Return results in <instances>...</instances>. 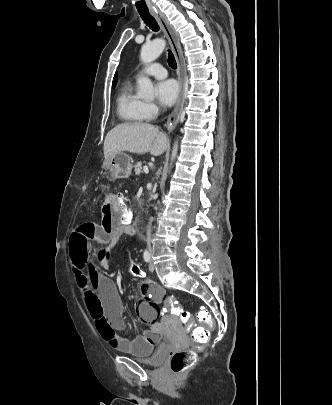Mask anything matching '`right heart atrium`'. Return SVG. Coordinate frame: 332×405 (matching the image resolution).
<instances>
[{
	"label": "right heart atrium",
	"instance_id": "right-heart-atrium-1",
	"mask_svg": "<svg viewBox=\"0 0 332 405\" xmlns=\"http://www.w3.org/2000/svg\"><path fill=\"white\" fill-rule=\"evenodd\" d=\"M159 111V108L154 103H145V112L148 118L154 117Z\"/></svg>",
	"mask_w": 332,
	"mask_h": 405
}]
</instances>
